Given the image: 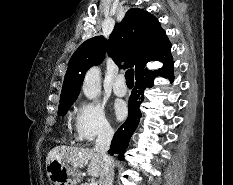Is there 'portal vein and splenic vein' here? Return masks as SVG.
I'll use <instances>...</instances> for the list:
<instances>
[{
	"label": "portal vein and splenic vein",
	"instance_id": "1",
	"mask_svg": "<svg viewBox=\"0 0 233 185\" xmlns=\"http://www.w3.org/2000/svg\"><path fill=\"white\" fill-rule=\"evenodd\" d=\"M88 185H97V183L96 182H91Z\"/></svg>",
	"mask_w": 233,
	"mask_h": 185
}]
</instances>
